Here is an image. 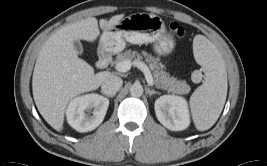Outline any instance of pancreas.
<instances>
[{
  "label": "pancreas",
  "mask_w": 267,
  "mask_h": 166,
  "mask_svg": "<svg viewBox=\"0 0 267 166\" xmlns=\"http://www.w3.org/2000/svg\"><path fill=\"white\" fill-rule=\"evenodd\" d=\"M143 57L152 70L153 82L157 88L176 94L189 93L191 88L185 80L179 81L174 77H170V75L165 72L164 65L159 63V61L152 55H148L145 51H142L141 54H139L137 51H132L130 49L126 50L123 53L118 54L113 63L118 64L119 62L126 60L132 62V60H141Z\"/></svg>",
  "instance_id": "obj_1"
}]
</instances>
